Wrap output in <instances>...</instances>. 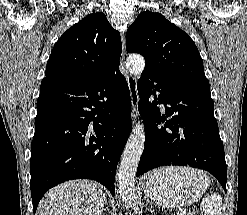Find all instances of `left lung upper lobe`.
<instances>
[{"label": "left lung upper lobe", "instance_id": "obj_1", "mask_svg": "<svg viewBox=\"0 0 247 215\" xmlns=\"http://www.w3.org/2000/svg\"><path fill=\"white\" fill-rule=\"evenodd\" d=\"M126 50L145 58V71L210 92L193 40L160 13L141 12L126 33Z\"/></svg>", "mask_w": 247, "mask_h": 215}]
</instances>
